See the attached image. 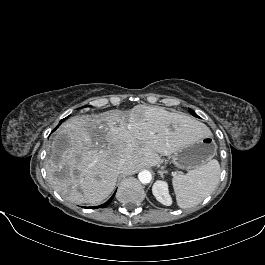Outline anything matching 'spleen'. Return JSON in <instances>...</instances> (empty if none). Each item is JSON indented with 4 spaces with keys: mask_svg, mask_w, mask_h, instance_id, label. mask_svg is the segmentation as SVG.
<instances>
[{
    "mask_svg": "<svg viewBox=\"0 0 265 265\" xmlns=\"http://www.w3.org/2000/svg\"><path fill=\"white\" fill-rule=\"evenodd\" d=\"M220 165L216 159L173 177L172 184L180 208H191L201 203L217 187Z\"/></svg>",
    "mask_w": 265,
    "mask_h": 265,
    "instance_id": "obj_1",
    "label": "spleen"
}]
</instances>
